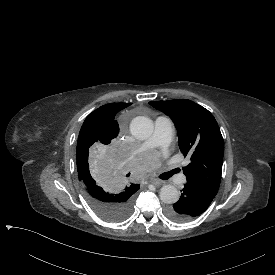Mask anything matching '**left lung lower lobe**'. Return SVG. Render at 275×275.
Wrapping results in <instances>:
<instances>
[{"label": "left lung lower lobe", "instance_id": "obj_1", "mask_svg": "<svg viewBox=\"0 0 275 275\" xmlns=\"http://www.w3.org/2000/svg\"><path fill=\"white\" fill-rule=\"evenodd\" d=\"M215 195L196 183L187 182L180 199L167 209V215L175 222L189 221L206 211Z\"/></svg>", "mask_w": 275, "mask_h": 275}]
</instances>
